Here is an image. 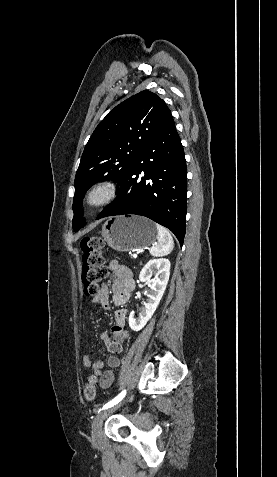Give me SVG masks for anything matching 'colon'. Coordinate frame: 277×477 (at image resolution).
I'll list each match as a JSON object with an SVG mask.
<instances>
[{
  "label": "colon",
  "instance_id": "obj_1",
  "mask_svg": "<svg viewBox=\"0 0 277 477\" xmlns=\"http://www.w3.org/2000/svg\"><path fill=\"white\" fill-rule=\"evenodd\" d=\"M82 251V283L84 293L92 302H96L102 292V281L107 276L104 265L102 248L103 242L99 237L86 236L80 242ZM87 401H93L96 397L94 378H91L84 389Z\"/></svg>",
  "mask_w": 277,
  "mask_h": 477
}]
</instances>
